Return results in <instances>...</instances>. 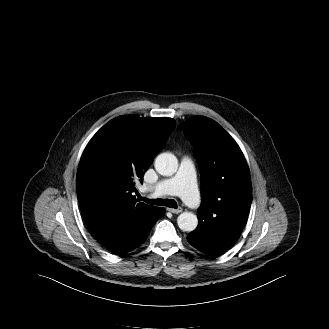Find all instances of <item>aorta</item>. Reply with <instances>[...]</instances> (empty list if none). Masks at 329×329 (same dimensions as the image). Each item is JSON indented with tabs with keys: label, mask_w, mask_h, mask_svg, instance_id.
I'll return each mask as SVG.
<instances>
[{
	"label": "aorta",
	"mask_w": 329,
	"mask_h": 329,
	"mask_svg": "<svg viewBox=\"0 0 329 329\" xmlns=\"http://www.w3.org/2000/svg\"><path fill=\"white\" fill-rule=\"evenodd\" d=\"M156 171L163 176H172L178 169L176 156L169 152L159 154L154 163ZM177 224L182 231L191 232L198 225L197 216L191 212H183L177 218Z\"/></svg>",
	"instance_id": "obj_1"
}]
</instances>
